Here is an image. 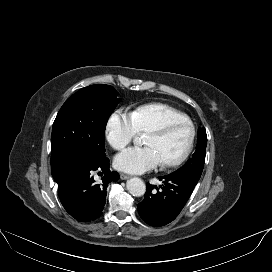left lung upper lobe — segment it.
<instances>
[{"label":"left lung upper lobe","mask_w":272,"mask_h":272,"mask_svg":"<svg viewBox=\"0 0 272 272\" xmlns=\"http://www.w3.org/2000/svg\"><path fill=\"white\" fill-rule=\"evenodd\" d=\"M207 135L204 127L198 129V141L193 157L185 165L173 172L177 176H187L196 180L200 179L205 162Z\"/></svg>","instance_id":"left-lung-upper-lobe-1"}]
</instances>
